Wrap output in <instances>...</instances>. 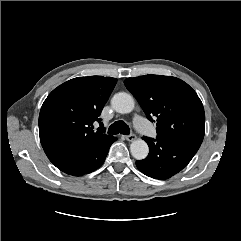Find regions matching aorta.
Wrapping results in <instances>:
<instances>
[{"instance_id": "762f6f07", "label": "aorta", "mask_w": 241, "mask_h": 241, "mask_svg": "<svg viewBox=\"0 0 241 241\" xmlns=\"http://www.w3.org/2000/svg\"><path fill=\"white\" fill-rule=\"evenodd\" d=\"M113 109L121 114H127L134 109V99L131 95L120 92L115 94L111 99ZM132 156L137 160L145 159L149 153L147 143L142 139L134 140L130 145Z\"/></svg>"}]
</instances>
